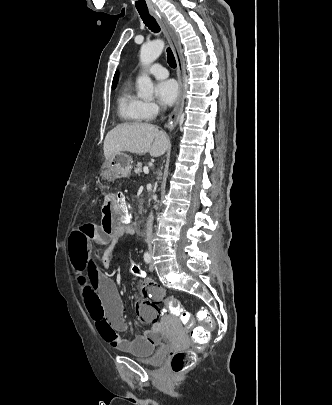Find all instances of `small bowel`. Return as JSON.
<instances>
[{
    "mask_svg": "<svg viewBox=\"0 0 332 405\" xmlns=\"http://www.w3.org/2000/svg\"><path fill=\"white\" fill-rule=\"evenodd\" d=\"M110 174L108 169L101 171V176L109 182L114 179ZM118 202V195L108 190L102 203L100 224L82 223L72 228L68 239L69 264L76 279L78 298H83L85 314L93 320L101 338L124 352L153 353L158 344L167 342L166 335L159 332L160 309L157 307L162 306V297H167V288H160L151 280L141 284V297L134 303V310L152 326L134 339H126L119 334L128 329V323L118 288L100 271L94 253V243L112 247L128 233V226L121 221L117 209Z\"/></svg>",
    "mask_w": 332,
    "mask_h": 405,
    "instance_id": "1",
    "label": "small bowel"
}]
</instances>
